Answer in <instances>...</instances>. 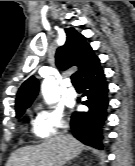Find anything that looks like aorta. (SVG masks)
Listing matches in <instances>:
<instances>
[{"label":"aorta","instance_id":"aorta-1","mask_svg":"<svg viewBox=\"0 0 135 166\" xmlns=\"http://www.w3.org/2000/svg\"><path fill=\"white\" fill-rule=\"evenodd\" d=\"M42 95L48 104H53L59 99V88L53 78H47L41 86Z\"/></svg>","mask_w":135,"mask_h":166}]
</instances>
